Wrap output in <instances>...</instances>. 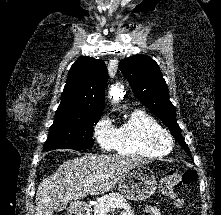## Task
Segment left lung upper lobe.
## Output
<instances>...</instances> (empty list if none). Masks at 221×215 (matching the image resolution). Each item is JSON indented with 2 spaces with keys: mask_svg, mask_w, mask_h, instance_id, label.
Wrapping results in <instances>:
<instances>
[{
  "mask_svg": "<svg viewBox=\"0 0 221 215\" xmlns=\"http://www.w3.org/2000/svg\"><path fill=\"white\" fill-rule=\"evenodd\" d=\"M119 68L131 84L135 96L169 128L178 143L191 156L169 100L168 87L158 64L147 55H134L120 61Z\"/></svg>",
  "mask_w": 221,
  "mask_h": 215,
  "instance_id": "1",
  "label": "left lung upper lobe"
}]
</instances>
